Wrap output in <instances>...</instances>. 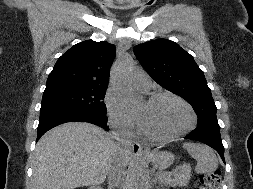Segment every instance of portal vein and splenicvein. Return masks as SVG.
<instances>
[{
  "label": "portal vein and splenic vein",
  "instance_id": "18ae733b",
  "mask_svg": "<svg viewBox=\"0 0 253 189\" xmlns=\"http://www.w3.org/2000/svg\"><path fill=\"white\" fill-rule=\"evenodd\" d=\"M186 167H189L190 168V166L188 165H182V166H179L178 168H176L175 170H174V172H178V171H181V170H183V169H185Z\"/></svg>",
  "mask_w": 253,
  "mask_h": 189
}]
</instances>
